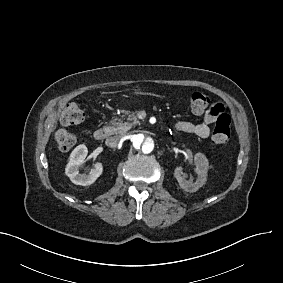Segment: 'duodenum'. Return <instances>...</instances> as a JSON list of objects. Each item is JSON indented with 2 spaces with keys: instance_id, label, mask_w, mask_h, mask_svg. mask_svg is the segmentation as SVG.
<instances>
[{
  "instance_id": "duodenum-1",
  "label": "duodenum",
  "mask_w": 283,
  "mask_h": 283,
  "mask_svg": "<svg viewBox=\"0 0 283 283\" xmlns=\"http://www.w3.org/2000/svg\"><path fill=\"white\" fill-rule=\"evenodd\" d=\"M109 136V130L107 127H100L95 130L94 138L98 141L105 140Z\"/></svg>"
}]
</instances>
